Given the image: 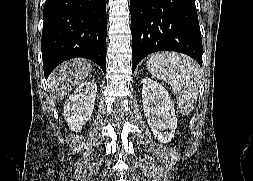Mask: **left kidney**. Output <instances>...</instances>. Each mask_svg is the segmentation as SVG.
Returning a JSON list of instances; mask_svg holds the SVG:
<instances>
[{"label":"left kidney","instance_id":"1","mask_svg":"<svg viewBox=\"0 0 253 181\" xmlns=\"http://www.w3.org/2000/svg\"><path fill=\"white\" fill-rule=\"evenodd\" d=\"M144 114L152 133L160 142L167 143L174 137L177 116L168 91L158 82L145 77L142 81Z\"/></svg>","mask_w":253,"mask_h":181}]
</instances>
